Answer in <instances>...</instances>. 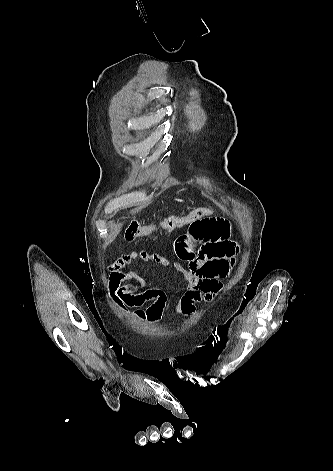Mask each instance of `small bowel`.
<instances>
[{"mask_svg": "<svg viewBox=\"0 0 333 471\" xmlns=\"http://www.w3.org/2000/svg\"><path fill=\"white\" fill-rule=\"evenodd\" d=\"M175 249L187 265L173 262L147 250L131 251L110 266L108 293L121 309L128 310L134 318L148 325L160 323L168 304V292L158 287H148L138 272L128 267L136 260L155 263L163 268H173L186 283V291L179 298L176 314L192 317L199 302H211L224 288L222 282L236 261L238 245L231 240L228 219L206 216L189 224L188 231L177 238Z\"/></svg>", "mask_w": 333, "mask_h": 471, "instance_id": "small-bowel-1", "label": "small bowel"}]
</instances>
